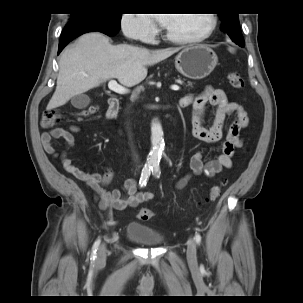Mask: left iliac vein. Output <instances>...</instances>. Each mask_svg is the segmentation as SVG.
<instances>
[{
    "label": "left iliac vein",
    "instance_id": "1",
    "mask_svg": "<svg viewBox=\"0 0 303 303\" xmlns=\"http://www.w3.org/2000/svg\"><path fill=\"white\" fill-rule=\"evenodd\" d=\"M197 248H196V242L194 238H190L187 243V259L190 264H196L197 263Z\"/></svg>",
    "mask_w": 303,
    "mask_h": 303
}]
</instances>
